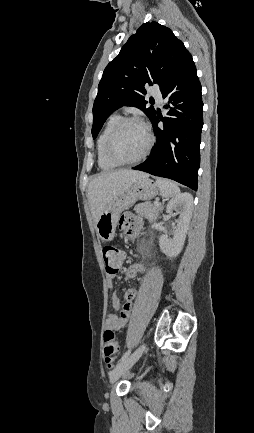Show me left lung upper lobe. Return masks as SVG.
<instances>
[{"instance_id":"obj_1","label":"left lung upper lobe","mask_w":254,"mask_h":433,"mask_svg":"<svg viewBox=\"0 0 254 433\" xmlns=\"http://www.w3.org/2000/svg\"><path fill=\"white\" fill-rule=\"evenodd\" d=\"M186 52L169 28L158 22L141 25L103 72L93 105V138L122 106L137 107L151 120L155 109L146 106L145 84H157L161 90Z\"/></svg>"}]
</instances>
